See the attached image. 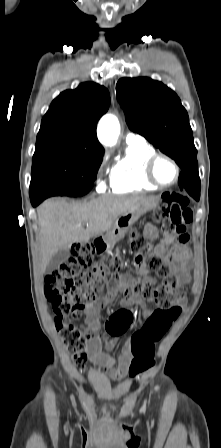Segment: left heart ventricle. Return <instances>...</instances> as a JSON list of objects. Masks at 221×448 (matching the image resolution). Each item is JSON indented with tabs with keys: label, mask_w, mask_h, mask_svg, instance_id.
<instances>
[{
	"label": "left heart ventricle",
	"mask_w": 221,
	"mask_h": 448,
	"mask_svg": "<svg viewBox=\"0 0 221 448\" xmlns=\"http://www.w3.org/2000/svg\"><path fill=\"white\" fill-rule=\"evenodd\" d=\"M155 175L160 182L170 183L175 179L176 170L168 160L161 158L156 163Z\"/></svg>",
	"instance_id": "b2bd125f"
}]
</instances>
